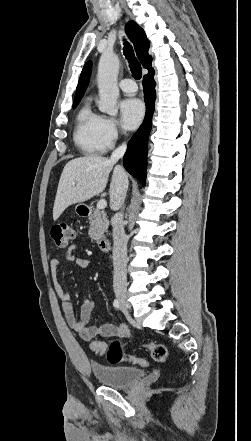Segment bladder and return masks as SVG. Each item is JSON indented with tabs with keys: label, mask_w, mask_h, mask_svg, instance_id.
Here are the masks:
<instances>
[{
	"label": "bladder",
	"mask_w": 251,
	"mask_h": 441,
	"mask_svg": "<svg viewBox=\"0 0 251 441\" xmlns=\"http://www.w3.org/2000/svg\"><path fill=\"white\" fill-rule=\"evenodd\" d=\"M91 371L99 383L112 388L128 387L145 375L144 370L140 368L97 363L91 365Z\"/></svg>",
	"instance_id": "obj_1"
}]
</instances>
